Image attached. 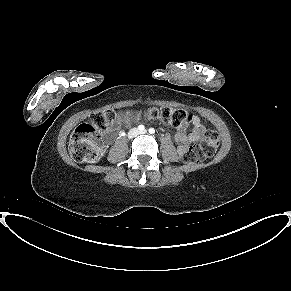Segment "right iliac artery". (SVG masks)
Returning <instances> with one entry per match:
<instances>
[{"mask_svg":"<svg viewBox=\"0 0 291 291\" xmlns=\"http://www.w3.org/2000/svg\"><path fill=\"white\" fill-rule=\"evenodd\" d=\"M138 129H139L140 131H143V130H145V127H144V125H139V126H138Z\"/></svg>","mask_w":291,"mask_h":291,"instance_id":"right-iliac-artery-1","label":"right iliac artery"}]
</instances>
